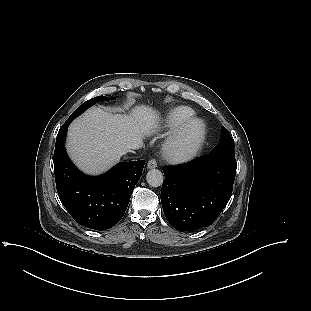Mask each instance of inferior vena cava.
Here are the masks:
<instances>
[{"instance_id":"obj_1","label":"inferior vena cava","mask_w":311,"mask_h":311,"mask_svg":"<svg viewBox=\"0 0 311 311\" xmlns=\"http://www.w3.org/2000/svg\"><path fill=\"white\" fill-rule=\"evenodd\" d=\"M126 151L127 152H130V153H136V152H139L140 151V144L139 143H136V142H134V143H127L126 144Z\"/></svg>"}]
</instances>
